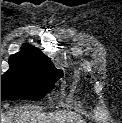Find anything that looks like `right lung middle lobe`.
Masks as SVG:
<instances>
[{
  "label": "right lung middle lobe",
  "mask_w": 122,
  "mask_h": 123,
  "mask_svg": "<svg viewBox=\"0 0 122 123\" xmlns=\"http://www.w3.org/2000/svg\"><path fill=\"white\" fill-rule=\"evenodd\" d=\"M9 70L1 76V101L11 99L40 100L63 76L56 68H39L9 62Z\"/></svg>",
  "instance_id": "1"
}]
</instances>
